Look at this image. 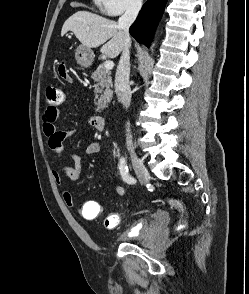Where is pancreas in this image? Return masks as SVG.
<instances>
[{"mask_svg": "<svg viewBox=\"0 0 249 294\" xmlns=\"http://www.w3.org/2000/svg\"><path fill=\"white\" fill-rule=\"evenodd\" d=\"M91 78L95 82L94 98L98 99L95 102L96 111H101L107 107L113 96L111 72L100 66L92 73Z\"/></svg>", "mask_w": 249, "mask_h": 294, "instance_id": "1", "label": "pancreas"}]
</instances>
